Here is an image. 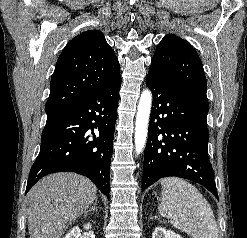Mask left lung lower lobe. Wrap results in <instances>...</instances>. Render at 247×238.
Returning <instances> with one entry per match:
<instances>
[{
	"label": "left lung lower lobe",
	"mask_w": 247,
	"mask_h": 238,
	"mask_svg": "<svg viewBox=\"0 0 247 238\" xmlns=\"http://www.w3.org/2000/svg\"><path fill=\"white\" fill-rule=\"evenodd\" d=\"M153 92L142 189L160 178L176 176L203 185L218 199L208 158V108L149 70Z\"/></svg>",
	"instance_id": "1"
}]
</instances>
